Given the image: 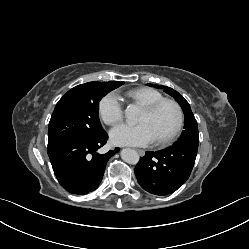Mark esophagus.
<instances>
[{
  "mask_svg": "<svg viewBox=\"0 0 249 249\" xmlns=\"http://www.w3.org/2000/svg\"><path fill=\"white\" fill-rule=\"evenodd\" d=\"M136 151L141 155L143 156L145 154V151L142 150V149H136Z\"/></svg>",
  "mask_w": 249,
  "mask_h": 249,
  "instance_id": "1",
  "label": "esophagus"
}]
</instances>
